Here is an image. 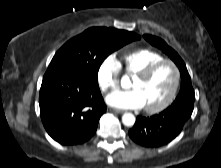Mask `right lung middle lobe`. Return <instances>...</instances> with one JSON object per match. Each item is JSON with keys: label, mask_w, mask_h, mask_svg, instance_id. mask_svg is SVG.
Returning a JSON list of instances; mask_svg holds the SVG:
<instances>
[{"label": "right lung middle lobe", "mask_w": 221, "mask_h": 168, "mask_svg": "<svg viewBox=\"0 0 221 168\" xmlns=\"http://www.w3.org/2000/svg\"><path fill=\"white\" fill-rule=\"evenodd\" d=\"M140 39L133 32L93 27L66 42L55 54L46 72L81 74L98 83L104 59L123 45Z\"/></svg>", "instance_id": "obj_1"}]
</instances>
